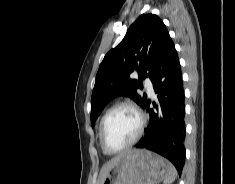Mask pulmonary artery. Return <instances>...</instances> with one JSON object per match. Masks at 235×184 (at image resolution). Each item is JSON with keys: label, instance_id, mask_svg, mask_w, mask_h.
Listing matches in <instances>:
<instances>
[{"label": "pulmonary artery", "instance_id": "1", "mask_svg": "<svg viewBox=\"0 0 235 184\" xmlns=\"http://www.w3.org/2000/svg\"><path fill=\"white\" fill-rule=\"evenodd\" d=\"M145 85L148 92L152 94L153 93L152 82L149 79H147Z\"/></svg>", "mask_w": 235, "mask_h": 184}]
</instances>
